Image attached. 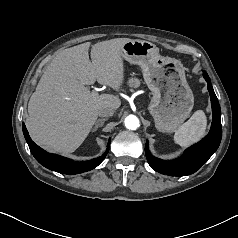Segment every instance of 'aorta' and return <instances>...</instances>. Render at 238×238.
<instances>
[{
  "label": "aorta",
  "instance_id": "762f6f07",
  "mask_svg": "<svg viewBox=\"0 0 238 238\" xmlns=\"http://www.w3.org/2000/svg\"><path fill=\"white\" fill-rule=\"evenodd\" d=\"M125 127L129 130H136L140 126V121L135 115H129L125 118Z\"/></svg>",
  "mask_w": 238,
  "mask_h": 238
}]
</instances>
